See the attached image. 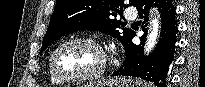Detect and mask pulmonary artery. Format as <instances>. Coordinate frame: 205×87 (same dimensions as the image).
<instances>
[{"instance_id": "e3ab8cb5", "label": "pulmonary artery", "mask_w": 205, "mask_h": 87, "mask_svg": "<svg viewBox=\"0 0 205 87\" xmlns=\"http://www.w3.org/2000/svg\"><path fill=\"white\" fill-rule=\"evenodd\" d=\"M125 16L128 18V19H133L135 17V12L132 10V9H127L125 11Z\"/></svg>"}]
</instances>
